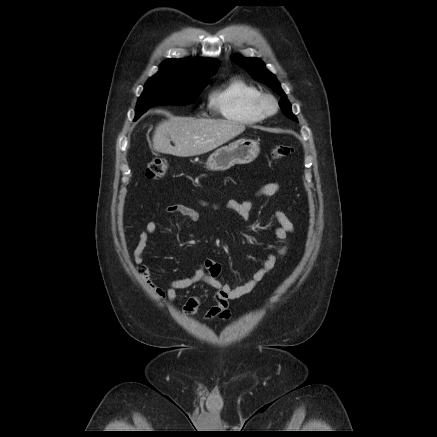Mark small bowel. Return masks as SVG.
Here are the masks:
<instances>
[{"mask_svg": "<svg viewBox=\"0 0 437 437\" xmlns=\"http://www.w3.org/2000/svg\"><path fill=\"white\" fill-rule=\"evenodd\" d=\"M279 188L280 187L278 183H267L259 188L255 196L271 197L278 193ZM199 203L205 207H211L213 209L219 208L218 205L208 201L201 200ZM226 207L239 214L243 219L248 220L253 208V200H229L226 204ZM173 214H181L191 221H196L199 218L197 210L184 204L169 205L164 209L165 216H170ZM275 218L277 220V226L274 229V234L283 243V246L277 251L276 254H269L263 261L260 268L245 284L232 288L230 285L223 283L220 280V264L215 260L207 259L203 261L200 268L197 269L191 277L173 280L169 283L167 289L159 288L148 281L151 289L159 297L166 298L169 302H174L177 298L179 290L187 289L200 281L206 282L216 289V294L214 297L215 303L205 312L204 319H228L231 314L230 301L249 294L257 286V284L261 282L276 266L277 262L286 254L288 250V235L294 229L293 223L284 212L279 210L275 212ZM157 228V222L153 220L149 221L145 225V228L141 231L139 235V241L134 250L135 262L143 270L146 279H148V268L143 263V253L147 247L150 235L154 234ZM200 304L201 301L198 296H190L183 305V311L188 316H196L199 311Z\"/></svg>", "mask_w": 437, "mask_h": 437, "instance_id": "obj_1", "label": "small bowel"}]
</instances>
